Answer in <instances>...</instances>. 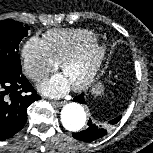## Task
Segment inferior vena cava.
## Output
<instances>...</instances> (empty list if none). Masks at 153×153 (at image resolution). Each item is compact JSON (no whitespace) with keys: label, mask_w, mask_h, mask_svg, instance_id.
Returning a JSON list of instances; mask_svg holds the SVG:
<instances>
[{"label":"inferior vena cava","mask_w":153,"mask_h":153,"mask_svg":"<svg viewBox=\"0 0 153 153\" xmlns=\"http://www.w3.org/2000/svg\"><path fill=\"white\" fill-rule=\"evenodd\" d=\"M44 76L43 75H37V79H42Z\"/></svg>","instance_id":"obj_1"}]
</instances>
